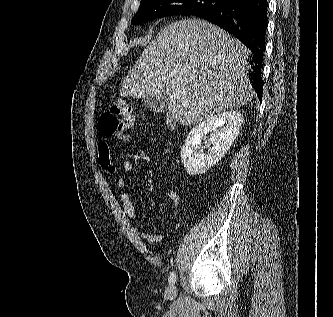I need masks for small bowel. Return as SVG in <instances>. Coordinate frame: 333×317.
I'll use <instances>...</instances> for the list:
<instances>
[{
    "mask_svg": "<svg viewBox=\"0 0 333 317\" xmlns=\"http://www.w3.org/2000/svg\"><path fill=\"white\" fill-rule=\"evenodd\" d=\"M121 141H128L130 140L129 134H122L119 136ZM97 153H98V160L100 167L109 174H115L117 169L115 164L111 159L110 147L106 141H100L97 146ZM134 167L133 161L127 159L123 162V169L126 173L132 172ZM117 187L119 189V197L122 203L123 212L128 219L137 223V215L134 203L131 200L129 193L126 190V180L120 177L117 180ZM166 195L174 205V215L170 226L173 224L174 220L177 217L179 206H180V198L177 191L168 188L166 189ZM140 237L151 243H158L163 240L164 233H157L152 234L146 231L140 232Z\"/></svg>",
    "mask_w": 333,
    "mask_h": 317,
    "instance_id": "1",
    "label": "small bowel"
}]
</instances>
